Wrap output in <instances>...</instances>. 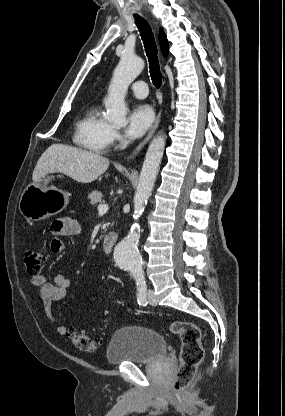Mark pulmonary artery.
Here are the masks:
<instances>
[{"mask_svg": "<svg viewBox=\"0 0 285 416\" xmlns=\"http://www.w3.org/2000/svg\"><path fill=\"white\" fill-rule=\"evenodd\" d=\"M145 85L146 83L144 81L138 80L130 86V90L136 97L145 98L148 94V89L146 87H142Z\"/></svg>", "mask_w": 285, "mask_h": 416, "instance_id": "1", "label": "pulmonary artery"}]
</instances>
